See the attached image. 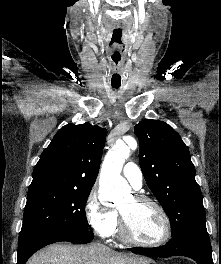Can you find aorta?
<instances>
[{
    "instance_id": "obj_1",
    "label": "aorta",
    "mask_w": 221,
    "mask_h": 264,
    "mask_svg": "<svg viewBox=\"0 0 221 264\" xmlns=\"http://www.w3.org/2000/svg\"><path fill=\"white\" fill-rule=\"evenodd\" d=\"M130 147L134 149L137 147V142L133 138L130 139V146L120 141L105 156L99 179L101 201L119 203L129 190L127 181L121 176V170L125 160L130 156Z\"/></svg>"
}]
</instances>
